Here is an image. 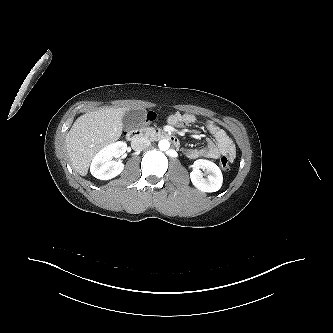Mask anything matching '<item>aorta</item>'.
<instances>
[{
    "instance_id": "762f6f07",
    "label": "aorta",
    "mask_w": 333,
    "mask_h": 333,
    "mask_svg": "<svg viewBox=\"0 0 333 333\" xmlns=\"http://www.w3.org/2000/svg\"><path fill=\"white\" fill-rule=\"evenodd\" d=\"M158 147H159L160 150L166 151V150L169 149L170 143L167 139H162V140L159 141Z\"/></svg>"
}]
</instances>
